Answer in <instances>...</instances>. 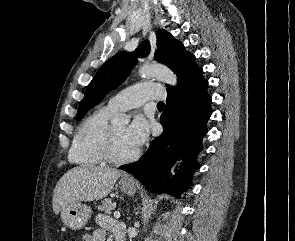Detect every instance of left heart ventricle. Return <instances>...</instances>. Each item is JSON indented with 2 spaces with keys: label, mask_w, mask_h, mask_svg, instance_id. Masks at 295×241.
Listing matches in <instances>:
<instances>
[{
  "label": "left heart ventricle",
  "mask_w": 295,
  "mask_h": 241,
  "mask_svg": "<svg viewBox=\"0 0 295 241\" xmlns=\"http://www.w3.org/2000/svg\"><path fill=\"white\" fill-rule=\"evenodd\" d=\"M114 139H115V153L118 156H129L133 154L137 148H135L126 137V125H115Z\"/></svg>",
  "instance_id": "b2bd125f"
}]
</instances>
